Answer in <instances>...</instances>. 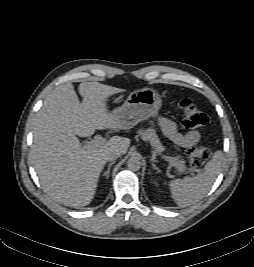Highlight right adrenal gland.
Returning <instances> with one entry per match:
<instances>
[{"label": "right adrenal gland", "instance_id": "right-adrenal-gland-1", "mask_svg": "<svg viewBox=\"0 0 254 267\" xmlns=\"http://www.w3.org/2000/svg\"><path fill=\"white\" fill-rule=\"evenodd\" d=\"M115 163V161H112L109 165H108V168L107 170L103 173V176H106V178L108 179L109 176H110V169L112 167V165Z\"/></svg>", "mask_w": 254, "mask_h": 267}]
</instances>
